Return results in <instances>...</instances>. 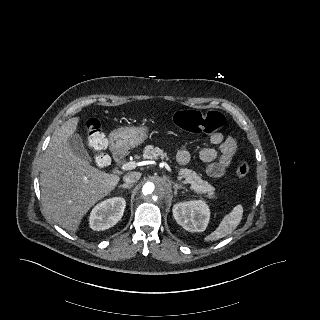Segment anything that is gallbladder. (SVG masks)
Instances as JSON below:
<instances>
[{"label":"gallbladder","instance_id":"gallbladder-1","mask_svg":"<svg viewBox=\"0 0 320 320\" xmlns=\"http://www.w3.org/2000/svg\"><path fill=\"white\" fill-rule=\"evenodd\" d=\"M67 143L77 157H79L80 159L86 162H92V157L89 155L87 149L83 144L82 139L78 134L76 133L72 134L68 138Z\"/></svg>","mask_w":320,"mask_h":320}]
</instances>
